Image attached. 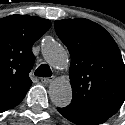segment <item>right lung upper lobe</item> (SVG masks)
I'll return each instance as SVG.
<instances>
[{
	"instance_id": "cb5924a9",
	"label": "right lung upper lobe",
	"mask_w": 125,
	"mask_h": 125,
	"mask_svg": "<svg viewBox=\"0 0 125 125\" xmlns=\"http://www.w3.org/2000/svg\"><path fill=\"white\" fill-rule=\"evenodd\" d=\"M51 22L36 16L11 15L0 19V106L21 101L32 81V45Z\"/></svg>"
}]
</instances>
